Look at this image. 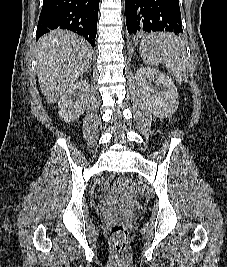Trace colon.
Instances as JSON below:
<instances>
[{
	"label": "colon",
	"mask_w": 227,
	"mask_h": 267,
	"mask_svg": "<svg viewBox=\"0 0 227 267\" xmlns=\"http://www.w3.org/2000/svg\"><path fill=\"white\" fill-rule=\"evenodd\" d=\"M111 193L114 198L121 200L131 198L136 192L135 183L127 178H118L111 184ZM110 237L119 252H123L127 246L128 230L124 221H114L109 226Z\"/></svg>",
	"instance_id": "obj_1"
}]
</instances>
